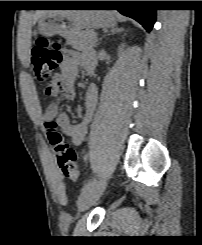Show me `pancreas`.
Instances as JSON below:
<instances>
[{"label":"pancreas","instance_id":"obj_1","mask_svg":"<svg viewBox=\"0 0 202 245\" xmlns=\"http://www.w3.org/2000/svg\"><path fill=\"white\" fill-rule=\"evenodd\" d=\"M96 33L93 30H85L79 32L73 38L68 39V44H70L74 49L79 51L89 50L96 46L95 42Z\"/></svg>","mask_w":202,"mask_h":245}]
</instances>
